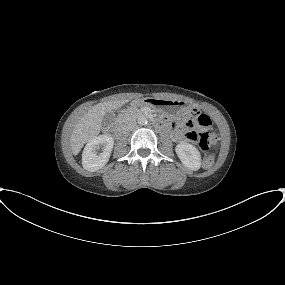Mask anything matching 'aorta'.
I'll return each mask as SVG.
<instances>
[{
    "label": "aorta",
    "mask_w": 285,
    "mask_h": 285,
    "mask_svg": "<svg viewBox=\"0 0 285 285\" xmlns=\"http://www.w3.org/2000/svg\"><path fill=\"white\" fill-rule=\"evenodd\" d=\"M137 122L139 125H145V124H147V118L145 116L141 115L138 117Z\"/></svg>",
    "instance_id": "762f6f07"
}]
</instances>
